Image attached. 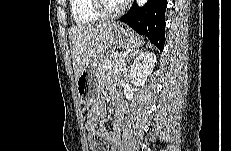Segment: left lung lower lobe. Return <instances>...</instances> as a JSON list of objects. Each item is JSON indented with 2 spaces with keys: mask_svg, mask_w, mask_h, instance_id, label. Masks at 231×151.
<instances>
[{
  "mask_svg": "<svg viewBox=\"0 0 231 151\" xmlns=\"http://www.w3.org/2000/svg\"><path fill=\"white\" fill-rule=\"evenodd\" d=\"M166 7L167 0H148L140 8L135 2L128 13L120 18V21L128 24L140 35H146L151 43L163 50Z\"/></svg>",
  "mask_w": 231,
  "mask_h": 151,
  "instance_id": "0a47b994",
  "label": "left lung lower lobe"
}]
</instances>
